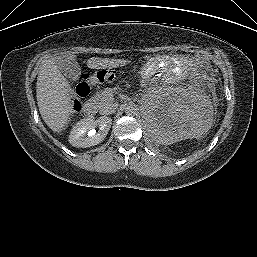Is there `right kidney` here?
<instances>
[{
	"label": "right kidney",
	"mask_w": 257,
	"mask_h": 257,
	"mask_svg": "<svg viewBox=\"0 0 257 257\" xmlns=\"http://www.w3.org/2000/svg\"><path fill=\"white\" fill-rule=\"evenodd\" d=\"M112 119L100 117L82 119L75 124L69 135V143L77 148H87L101 143L108 134ZM99 127L96 131L95 128Z\"/></svg>",
	"instance_id": "1"
}]
</instances>
